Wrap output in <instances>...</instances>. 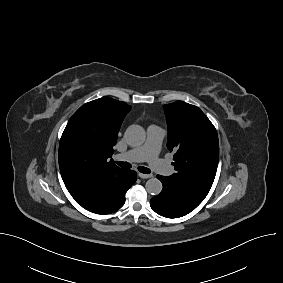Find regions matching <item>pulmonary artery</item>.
<instances>
[{
  "instance_id": "e3ab8cb5",
  "label": "pulmonary artery",
  "mask_w": 283,
  "mask_h": 283,
  "mask_svg": "<svg viewBox=\"0 0 283 283\" xmlns=\"http://www.w3.org/2000/svg\"><path fill=\"white\" fill-rule=\"evenodd\" d=\"M165 131L156 125H151L147 129V139L143 146L118 154L116 158L122 161L149 163L152 169L162 175H171L173 168L159 158V152Z\"/></svg>"
}]
</instances>
